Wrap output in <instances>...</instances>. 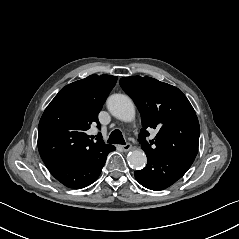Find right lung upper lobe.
<instances>
[{
	"label": "right lung upper lobe",
	"instance_id": "right-lung-upper-lobe-1",
	"mask_svg": "<svg viewBox=\"0 0 239 239\" xmlns=\"http://www.w3.org/2000/svg\"><path fill=\"white\" fill-rule=\"evenodd\" d=\"M117 81L116 76L90 75L62 88L45 109L38 126V149L44 163L78 160L109 146L86 134Z\"/></svg>",
	"mask_w": 239,
	"mask_h": 239
}]
</instances>
